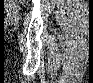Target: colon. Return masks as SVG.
<instances>
[{
    "label": "colon",
    "mask_w": 93,
    "mask_h": 83,
    "mask_svg": "<svg viewBox=\"0 0 93 83\" xmlns=\"http://www.w3.org/2000/svg\"><path fill=\"white\" fill-rule=\"evenodd\" d=\"M9 3H11V4H20V3H22V2L11 1V2H9Z\"/></svg>",
    "instance_id": "colon-1"
}]
</instances>
